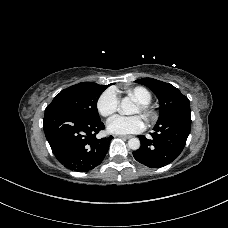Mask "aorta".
Returning a JSON list of instances; mask_svg holds the SVG:
<instances>
[{"instance_id":"aorta-1","label":"aorta","mask_w":228,"mask_h":228,"mask_svg":"<svg viewBox=\"0 0 228 228\" xmlns=\"http://www.w3.org/2000/svg\"><path fill=\"white\" fill-rule=\"evenodd\" d=\"M132 102L129 98H123L120 104V112L122 114H130L132 109ZM128 147L132 150H137L140 147V140L138 138H131L128 141Z\"/></svg>"}]
</instances>
